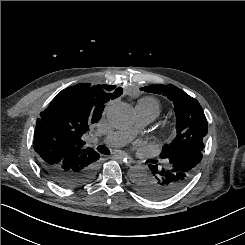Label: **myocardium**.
Listing matches in <instances>:
<instances>
[{
    "instance_id": "myocardium-1",
    "label": "myocardium",
    "mask_w": 245,
    "mask_h": 245,
    "mask_svg": "<svg viewBox=\"0 0 245 245\" xmlns=\"http://www.w3.org/2000/svg\"><path fill=\"white\" fill-rule=\"evenodd\" d=\"M173 132V128L171 126H166L164 129H163V133L165 134H169V133H172Z\"/></svg>"
}]
</instances>
